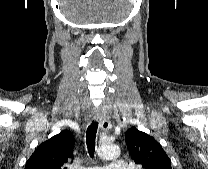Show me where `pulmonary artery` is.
<instances>
[{
	"label": "pulmonary artery",
	"mask_w": 208,
	"mask_h": 169,
	"mask_svg": "<svg viewBox=\"0 0 208 169\" xmlns=\"http://www.w3.org/2000/svg\"><path fill=\"white\" fill-rule=\"evenodd\" d=\"M82 169H131L127 162L120 158H114L108 165L97 167H83Z\"/></svg>",
	"instance_id": "obj_1"
}]
</instances>
